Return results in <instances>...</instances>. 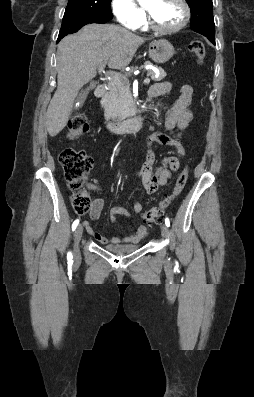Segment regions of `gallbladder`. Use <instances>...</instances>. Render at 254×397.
<instances>
[{
  "instance_id": "bac80fb5",
  "label": "gallbladder",
  "mask_w": 254,
  "mask_h": 397,
  "mask_svg": "<svg viewBox=\"0 0 254 397\" xmlns=\"http://www.w3.org/2000/svg\"><path fill=\"white\" fill-rule=\"evenodd\" d=\"M95 88V84L91 83L89 87H87L85 90L79 93V95L76 98V102L78 104V107H81L83 103L86 100L87 94L89 93L90 90Z\"/></svg>"
}]
</instances>
